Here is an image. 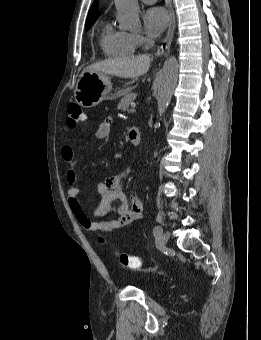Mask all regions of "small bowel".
I'll return each instance as SVG.
<instances>
[{
	"instance_id": "c3829d8e",
	"label": "small bowel",
	"mask_w": 261,
	"mask_h": 340,
	"mask_svg": "<svg viewBox=\"0 0 261 340\" xmlns=\"http://www.w3.org/2000/svg\"><path fill=\"white\" fill-rule=\"evenodd\" d=\"M111 120L105 119L95 130V136L99 139H108L111 134ZM61 155L66 163L73 164L74 151L70 145H64L61 149ZM130 173V169L107 178L103 182L97 183L95 193L100 197V201L89 216L83 209L79 200V189L75 186V172L71 168L67 172V180L70 184L68 189L69 206L79 222V224L86 230L91 232H113L120 230L132 222L138 220L142 215L143 204L137 195H132L129 199L120 188L123 179ZM118 201L116 208L118 215L117 219L97 221L94 218H99L107 215L111 209L112 204Z\"/></svg>"
}]
</instances>
